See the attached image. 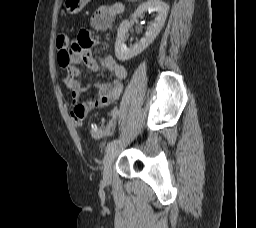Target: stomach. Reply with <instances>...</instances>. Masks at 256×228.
<instances>
[{
  "mask_svg": "<svg viewBox=\"0 0 256 228\" xmlns=\"http://www.w3.org/2000/svg\"><path fill=\"white\" fill-rule=\"evenodd\" d=\"M90 0H64V7L70 14L79 13Z\"/></svg>",
  "mask_w": 256,
  "mask_h": 228,
  "instance_id": "1",
  "label": "stomach"
}]
</instances>
